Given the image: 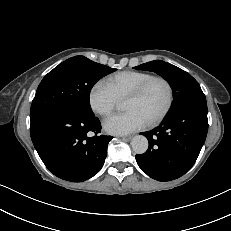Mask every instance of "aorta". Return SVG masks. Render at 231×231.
Segmentation results:
<instances>
[{
    "label": "aorta",
    "mask_w": 231,
    "mask_h": 231,
    "mask_svg": "<svg viewBox=\"0 0 231 231\" xmlns=\"http://www.w3.org/2000/svg\"><path fill=\"white\" fill-rule=\"evenodd\" d=\"M131 146L136 154H143L147 151L149 143L145 136L136 135L131 141Z\"/></svg>",
    "instance_id": "aorta-1"
}]
</instances>
